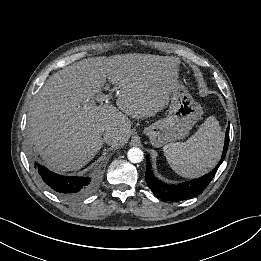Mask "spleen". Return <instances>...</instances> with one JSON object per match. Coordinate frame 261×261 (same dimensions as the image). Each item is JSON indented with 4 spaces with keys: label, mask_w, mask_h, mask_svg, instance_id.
I'll return each mask as SVG.
<instances>
[{
    "label": "spleen",
    "mask_w": 261,
    "mask_h": 261,
    "mask_svg": "<svg viewBox=\"0 0 261 261\" xmlns=\"http://www.w3.org/2000/svg\"><path fill=\"white\" fill-rule=\"evenodd\" d=\"M223 134L218 120L208 117L186 142L170 143L163 147L170 167L180 176L199 177L213 168L220 159Z\"/></svg>",
    "instance_id": "obj_1"
}]
</instances>
